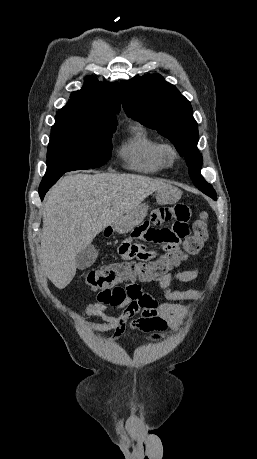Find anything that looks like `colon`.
<instances>
[{
  "mask_svg": "<svg viewBox=\"0 0 257 459\" xmlns=\"http://www.w3.org/2000/svg\"><path fill=\"white\" fill-rule=\"evenodd\" d=\"M207 221V214L205 212L200 213L192 224V227H196L197 234L196 236H188L182 251H164L157 261H147V264H118V262H114L97 269H89L84 272V280L93 289H105L117 283L156 279L174 264L199 251L209 236Z\"/></svg>",
  "mask_w": 257,
  "mask_h": 459,
  "instance_id": "1",
  "label": "colon"
}]
</instances>
